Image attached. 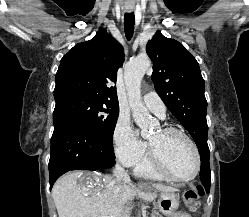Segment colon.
<instances>
[{"instance_id": "colon-1", "label": "colon", "mask_w": 249, "mask_h": 217, "mask_svg": "<svg viewBox=\"0 0 249 217\" xmlns=\"http://www.w3.org/2000/svg\"><path fill=\"white\" fill-rule=\"evenodd\" d=\"M201 187L187 189L184 192L183 200L190 211L196 212L200 207V198L203 196Z\"/></svg>"}]
</instances>
